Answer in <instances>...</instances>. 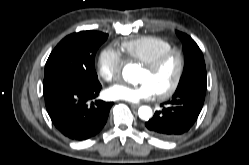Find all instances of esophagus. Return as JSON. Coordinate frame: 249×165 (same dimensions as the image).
Here are the masks:
<instances>
[{
    "label": "esophagus",
    "mask_w": 249,
    "mask_h": 165,
    "mask_svg": "<svg viewBox=\"0 0 249 165\" xmlns=\"http://www.w3.org/2000/svg\"><path fill=\"white\" fill-rule=\"evenodd\" d=\"M130 106H131L132 108H138L140 105H139V104H133V103H131Z\"/></svg>",
    "instance_id": "esophagus-1"
}]
</instances>
